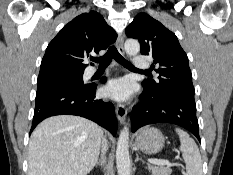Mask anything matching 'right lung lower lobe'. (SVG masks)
<instances>
[{
	"label": "right lung lower lobe",
	"mask_w": 233,
	"mask_h": 175,
	"mask_svg": "<svg viewBox=\"0 0 233 175\" xmlns=\"http://www.w3.org/2000/svg\"><path fill=\"white\" fill-rule=\"evenodd\" d=\"M101 81L104 83L106 78ZM96 87V84L59 86L37 92L30 133L47 117L69 114L90 119L115 136L118 127L115 108L111 102L96 99Z\"/></svg>",
	"instance_id": "1"
}]
</instances>
